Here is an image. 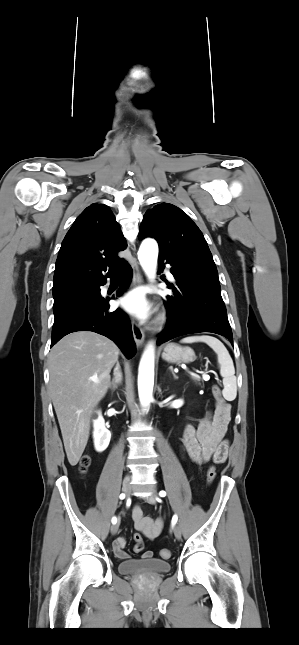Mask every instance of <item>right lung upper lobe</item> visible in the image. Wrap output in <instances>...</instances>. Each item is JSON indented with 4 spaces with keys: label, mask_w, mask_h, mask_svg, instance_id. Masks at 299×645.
Returning <instances> with one entry per match:
<instances>
[{
    "label": "right lung upper lobe",
    "mask_w": 299,
    "mask_h": 645,
    "mask_svg": "<svg viewBox=\"0 0 299 645\" xmlns=\"http://www.w3.org/2000/svg\"><path fill=\"white\" fill-rule=\"evenodd\" d=\"M127 243L105 204H91L75 220L59 250L53 291L75 284H99L125 261L117 256ZM109 271L107 275L103 272Z\"/></svg>",
    "instance_id": "1"
}]
</instances>
